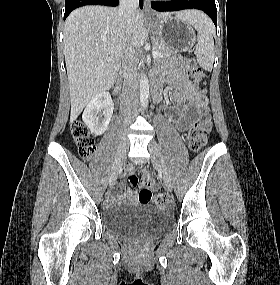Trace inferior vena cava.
<instances>
[{
	"label": "inferior vena cava",
	"mask_w": 280,
	"mask_h": 285,
	"mask_svg": "<svg viewBox=\"0 0 280 285\" xmlns=\"http://www.w3.org/2000/svg\"><path fill=\"white\" fill-rule=\"evenodd\" d=\"M139 7V0H120V10L129 28L133 25L134 15ZM135 50L128 47L122 60V72L124 76L121 94V111L125 121L132 119L133 109L138 102V72L134 62Z\"/></svg>",
	"instance_id": "1"
}]
</instances>
